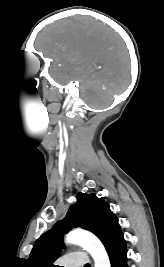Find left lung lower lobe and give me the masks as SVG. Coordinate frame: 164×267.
I'll return each mask as SVG.
<instances>
[{
  "label": "left lung lower lobe",
  "instance_id": "0a47b994",
  "mask_svg": "<svg viewBox=\"0 0 164 267\" xmlns=\"http://www.w3.org/2000/svg\"><path fill=\"white\" fill-rule=\"evenodd\" d=\"M103 244L108 252L111 267H127L126 241L120 227L115 229Z\"/></svg>",
  "mask_w": 164,
  "mask_h": 267
}]
</instances>
